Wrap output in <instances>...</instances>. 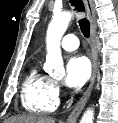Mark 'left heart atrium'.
<instances>
[{
	"label": "left heart atrium",
	"instance_id": "obj_1",
	"mask_svg": "<svg viewBox=\"0 0 118 123\" xmlns=\"http://www.w3.org/2000/svg\"><path fill=\"white\" fill-rule=\"evenodd\" d=\"M91 66L85 56L74 55L66 64V77L64 83L72 89L81 88L89 79Z\"/></svg>",
	"mask_w": 118,
	"mask_h": 123
}]
</instances>
